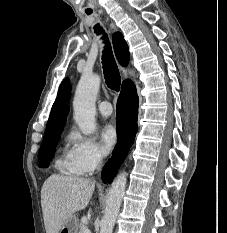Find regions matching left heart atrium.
I'll return each mask as SVG.
<instances>
[{
	"label": "left heart atrium",
	"mask_w": 227,
	"mask_h": 233,
	"mask_svg": "<svg viewBox=\"0 0 227 233\" xmlns=\"http://www.w3.org/2000/svg\"><path fill=\"white\" fill-rule=\"evenodd\" d=\"M101 140L106 152H109L117 143L118 134L112 124H107L101 132Z\"/></svg>",
	"instance_id": "obj_1"
}]
</instances>
